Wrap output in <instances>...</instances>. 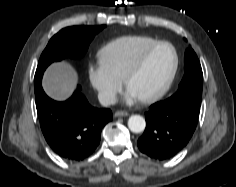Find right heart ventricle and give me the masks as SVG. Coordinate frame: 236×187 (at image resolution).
I'll return each mask as SVG.
<instances>
[{
  "instance_id": "right-heart-ventricle-1",
  "label": "right heart ventricle",
  "mask_w": 236,
  "mask_h": 187,
  "mask_svg": "<svg viewBox=\"0 0 236 187\" xmlns=\"http://www.w3.org/2000/svg\"><path fill=\"white\" fill-rule=\"evenodd\" d=\"M157 41L156 38L147 35L116 38L99 50V63L118 79L124 80L126 73L138 56Z\"/></svg>"
}]
</instances>
